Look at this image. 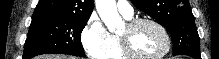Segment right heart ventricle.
Wrapping results in <instances>:
<instances>
[{"label":"right heart ventricle","mask_w":219,"mask_h":59,"mask_svg":"<svg viewBox=\"0 0 219 59\" xmlns=\"http://www.w3.org/2000/svg\"><path fill=\"white\" fill-rule=\"evenodd\" d=\"M108 59H126L121 51L119 41L114 37V45L107 57Z\"/></svg>","instance_id":"right-heart-ventricle-1"}]
</instances>
